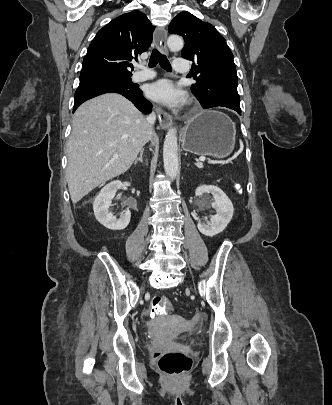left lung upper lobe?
Here are the masks:
<instances>
[{
  "label": "left lung upper lobe",
  "mask_w": 332,
  "mask_h": 405,
  "mask_svg": "<svg viewBox=\"0 0 332 405\" xmlns=\"http://www.w3.org/2000/svg\"><path fill=\"white\" fill-rule=\"evenodd\" d=\"M168 31L185 40L181 56L193 62L191 86L203 108L227 107L240 109L238 78L233 54L224 37L209 23L183 11L170 23Z\"/></svg>",
  "instance_id": "5c2ea615"
}]
</instances>
